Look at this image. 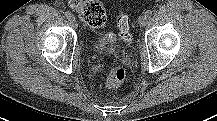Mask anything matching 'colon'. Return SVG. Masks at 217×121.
Returning a JSON list of instances; mask_svg holds the SVG:
<instances>
[{
  "label": "colon",
  "mask_w": 217,
  "mask_h": 121,
  "mask_svg": "<svg viewBox=\"0 0 217 121\" xmlns=\"http://www.w3.org/2000/svg\"><path fill=\"white\" fill-rule=\"evenodd\" d=\"M70 7L79 14V17L83 22L93 28H99L103 26L107 19L106 7L103 0H69ZM118 27V37L121 41L129 42L132 40V34L130 31V20L126 14H121L116 19ZM112 53L117 57L114 49ZM126 78V70L120 64H115L111 67L106 87L108 89H115Z\"/></svg>",
  "instance_id": "5ec220e1"
}]
</instances>
